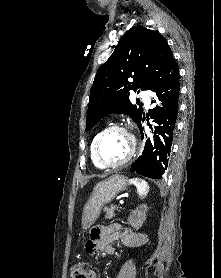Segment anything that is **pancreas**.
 I'll use <instances>...</instances> for the list:
<instances>
[{
    "label": "pancreas",
    "mask_w": 221,
    "mask_h": 278,
    "mask_svg": "<svg viewBox=\"0 0 221 278\" xmlns=\"http://www.w3.org/2000/svg\"><path fill=\"white\" fill-rule=\"evenodd\" d=\"M118 210V207L115 205H111L109 209L106 210V219H111L115 216V211Z\"/></svg>",
    "instance_id": "1"
}]
</instances>
